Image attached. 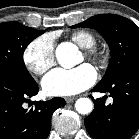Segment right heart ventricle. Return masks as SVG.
I'll return each mask as SVG.
<instances>
[{
	"label": "right heart ventricle",
	"instance_id": "obj_1",
	"mask_svg": "<svg viewBox=\"0 0 139 139\" xmlns=\"http://www.w3.org/2000/svg\"><path fill=\"white\" fill-rule=\"evenodd\" d=\"M71 39L83 49L92 48L96 45V37L88 31H76L71 34Z\"/></svg>",
	"mask_w": 139,
	"mask_h": 139
}]
</instances>
